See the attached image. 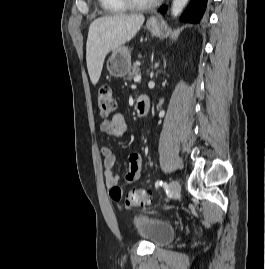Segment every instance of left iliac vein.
<instances>
[{
	"mask_svg": "<svg viewBox=\"0 0 265 269\" xmlns=\"http://www.w3.org/2000/svg\"><path fill=\"white\" fill-rule=\"evenodd\" d=\"M170 191L174 199H177L180 196L181 186L177 180H172L169 184Z\"/></svg>",
	"mask_w": 265,
	"mask_h": 269,
	"instance_id": "left-iliac-vein-1",
	"label": "left iliac vein"
}]
</instances>
